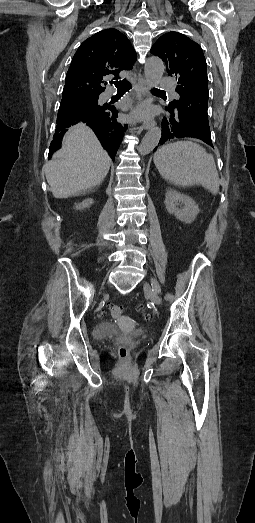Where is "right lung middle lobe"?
I'll return each mask as SVG.
<instances>
[{
  "label": "right lung middle lobe",
  "mask_w": 255,
  "mask_h": 523,
  "mask_svg": "<svg viewBox=\"0 0 255 523\" xmlns=\"http://www.w3.org/2000/svg\"><path fill=\"white\" fill-rule=\"evenodd\" d=\"M75 103L77 105H81L82 107H87L89 105V100L87 98H82V99L77 98L75 100Z\"/></svg>",
  "instance_id": "dd1d6c3e"
}]
</instances>
